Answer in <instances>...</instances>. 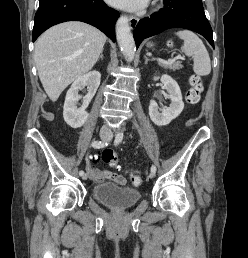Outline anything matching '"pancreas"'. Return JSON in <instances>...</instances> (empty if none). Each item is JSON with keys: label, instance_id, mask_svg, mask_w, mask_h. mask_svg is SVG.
Listing matches in <instances>:
<instances>
[{"label": "pancreas", "instance_id": "cf45deb5", "mask_svg": "<svg viewBox=\"0 0 248 258\" xmlns=\"http://www.w3.org/2000/svg\"><path fill=\"white\" fill-rule=\"evenodd\" d=\"M159 64L165 69H169L173 71L183 68V65L180 62H169V63L159 62Z\"/></svg>", "mask_w": 248, "mask_h": 258}]
</instances>
